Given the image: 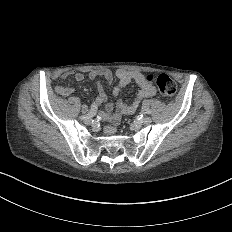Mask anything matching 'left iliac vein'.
I'll return each mask as SVG.
<instances>
[{
	"mask_svg": "<svg viewBox=\"0 0 232 232\" xmlns=\"http://www.w3.org/2000/svg\"><path fill=\"white\" fill-rule=\"evenodd\" d=\"M152 123V118L151 117H146L145 119H144V124L145 125H150Z\"/></svg>",
	"mask_w": 232,
	"mask_h": 232,
	"instance_id": "obj_1",
	"label": "left iliac vein"
}]
</instances>
